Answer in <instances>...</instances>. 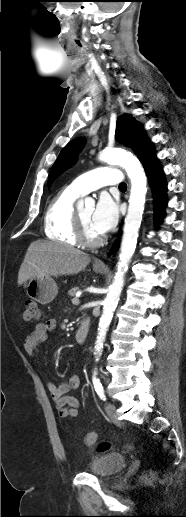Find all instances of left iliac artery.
<instances>
[{
	"mask_svg": "<svg viewBox=\"0 0 186 517\" xmlns=\"http://www.w3.org/2000/svg\"><path fill=\"white\" fill-rule=\"evenodd\" d=\"M92 381H93V385H94L95 391L97 392L98 396L102 400L105 401L106 397H105V394H104V389H103V386H102L100 380L96 376V372H94V374H93Z\"/></svg>",
	"mask_w": 186,
	"mask_h": 517,
	"instance_id": "1",
	"label": "left iliac artery"
}]
</instances>
